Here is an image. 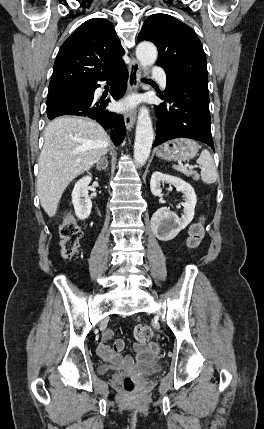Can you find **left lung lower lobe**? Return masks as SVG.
<instances>
[{
    "instance_id": "1",
    "label": "left lung lower lobe",
    "mask_w": 264,
    "mask_h": 429,
    "mask_svg": "<svg viewBox=\"0 0 264 429\" xmlns=\"http://www.w3.org/2000/svg\"><path fill=\"white\" fill-rule=\"evenodd\" d=\"M166 74L165 94L159 93L164 103L155 106L158 123L153 146L185 137L204 142L214 150L208 91Z\"/></svg>"
}]
</instances>
